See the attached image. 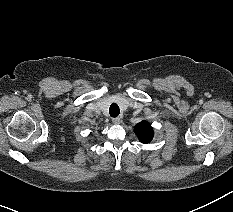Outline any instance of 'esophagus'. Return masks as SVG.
Segmentation results:
<instances>
[{"mask_svg":"<svg viewBox=\"0 0 233 212\" xmlns=\"http://www.w3.org/2000/svg\"><path fill=\"white\" fill-rule=\"evenodd\" d=\"M112 122H113L114 124H120V123H121V119H120L119 117H116V118H113V119H112Z\"/></svg>","mask_w":233,"mask_h":212,"instance_id":"1","label":"esophagus"}]
</instances>
